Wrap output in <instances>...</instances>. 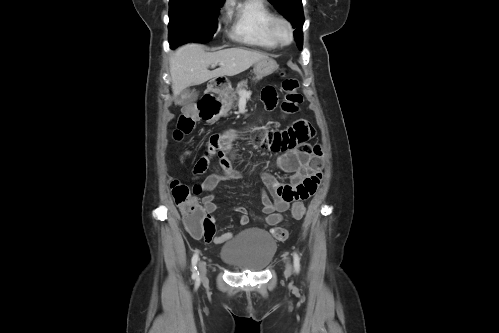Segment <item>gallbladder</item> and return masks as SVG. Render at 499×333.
<instances>
[{
  "mask_svg": "<svg viewBox=\"0 0 499 333\" xmlns=\"http://www.w3.org/2000/svg\"><path fill=\"white\" fill-rule=\"evenodd\" d=\"M197 92L195 89L185 90L176 100L178 105H189L192 104L197 99Z\"/></svg>",
  "mask_w": 499,
  "mask_h": 333,
  "instance_id": "obj_1",
  "label": "gallbladder"
}]
</instances>
